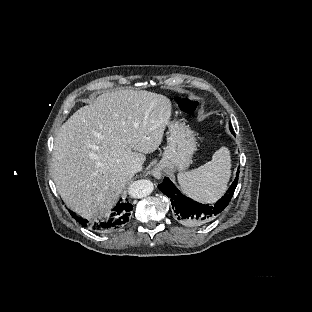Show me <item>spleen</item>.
<instances>
[{
  "label": "spleen",
  "mask_w": 312,
  "mask_h": 312,
  "mask_svg": "<svg viewBox=\"0 0 312 312\" xmlns=\"http://www.w3.org/2000/svg\"><path fill=\"white\" fill-rule=\"evenodd\" d=\"M231 176V157L227 147H221L212 160L188 172L177 175L183 193L200 203H214L227 190Z\"/></svg>",
  "instance_id": "obj_1"
}]
</instances>
